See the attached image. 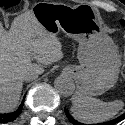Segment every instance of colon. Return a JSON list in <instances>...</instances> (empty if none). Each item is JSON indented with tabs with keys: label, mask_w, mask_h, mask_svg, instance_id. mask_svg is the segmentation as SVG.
I'll return each instance as SVG.
<instances>
[{
	"label": "colon",
	"mask_w": 125,
	"mask_h": 125,
	"mask_svg": "<svg viewBox=\"0 0 125 125\" xmlns=\"http://www.w3.org/2000/svg\"><path fill=\"white\" fill-rule=\"evenodd\" d=\"M122 76L125 80V50H124V53H123V71H122Z\"/></svg>",
	"instance_id": "colon-1"
}]
</instances>
